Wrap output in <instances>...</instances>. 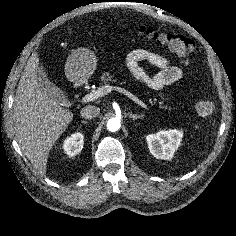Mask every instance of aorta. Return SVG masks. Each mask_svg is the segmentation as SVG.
Returning a JSON list of instances; mask_svg holds the SVG:
<instances>
[{"mask_svg": "<svg viewBox=\"0 0 236 236\" xmlns=\"http://www.w3.org/2000/svg\"><path fill=\"white\" fill-rule=\"evenodd\" d=\"M120 128V120L117 118H111L107 122V129L111 132H115Z\"/></svg>", "mask_w": 236, "mask_h": 236, "instance_id": "obj_1", "label": "aorta"}]
</instances>
